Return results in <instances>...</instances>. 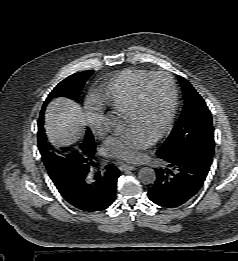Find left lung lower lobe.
<instances>
[{
	"instance_id": "0a47b994",
	"label": "left lung lower lobe",
	"mask_w": 238,
	"mask_h": 261,
	"mask_svg": "<svg viewBox=\"0 0 238 261\" xmlns=\"http://www.w3.org/2000/svg\"><path fill=\"white\" fill-rule=\"evenodd\" d=\"M200 149L184 156L159 157L162 166L155 168L156 180L148 197L155 204L178 207L188 202L202 187L212 160Z\"/></svg>"
}]
</instances>
